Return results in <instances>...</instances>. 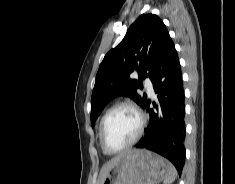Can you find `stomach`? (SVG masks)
I'll use <instances>...</instances> for the list:
<instances>
[{"instance_id":"stomach-1","label":"stomach","mask_w":235,"mask_h":184,"mask_svg":"<svg viewBox=\"0 0 235 184\" xmlns=\"http://www.w3.org/2000/svg\"><path fill=\"white\" fill-rule=\"evenodd\" d=\"M167 164L153 152L132 150L113 164L103 184H158L165 178Z\"/></svg>"}]
</instances>
